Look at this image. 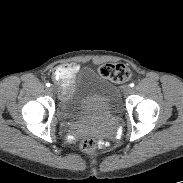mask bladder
Listing matches in <instances>:
<instances>
[{"mask_svg": "<svg viewBox=\"0 0 183 183\" xmlns=\"http://www.w3.org/2000/svg\"><path fill=\"white\" fill-rule=\"evenodd\" d=\"M62 100L63 109L79 120L114 117L120 112L118 90L104 79L75 90Z\"/></svg>", "mask_w": 183, "mask_h": 183, "instance_id": "obj_1", "label": "bladder"}]
</instances>
